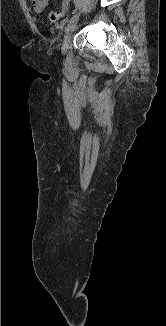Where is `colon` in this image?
Instances as JSON below:
<instances>
[{"mask_svg":"<svg viewBox=\"0 0 166 326\" xmlns=\"http://www.w3.org/2000/svg\"><path fill=\"white\" fill-rule=\"evenodd\" d=\"M60 15H61L60 11H52V12H50L49 15H48L49 21L52 22V23L57 22Z\"/></svg>","mask_w":166,"mask_h":326,"instance_id":"1","label":"colon"}]
</instances>
